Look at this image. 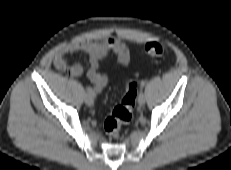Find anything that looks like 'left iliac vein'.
I'll return each instance as SVG.
<instances>
[{"instance_id": "left-iliac-vein-1", "label": "left iliac vein", "mask_w": 231, "mask_h": 170, "mask_svg": "<svg viewBox=\"0 0 231 170\" xmlns=\"http://www.w3.org/2000/svg\"><path fill=\"white\" fill-rule=\"evenodd\" d=\"M146 102V98H145V95L143 93L139 94V97H138V103L139 105H144Z\"/></svg>"}]
</instances>
